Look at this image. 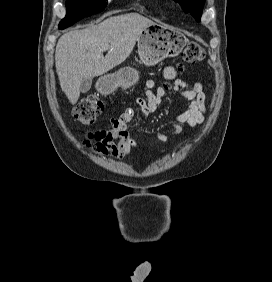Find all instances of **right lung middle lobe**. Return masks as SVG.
Returning <instances> with one entry per match:
<instances>
[{"label": "right lung middle lobe", "mask_w": 272, "mask_h": 282, "mask_svg": "<svg viewBox=\"0 0 272 282\" xmlns=\"http://www.w3.org/2000/svg\"><path fill=\"white\" fill-rule=\"evenodd\" d=\"M106 4L107 0H67V13L60 22L59 29L67 28L84 17L101 12Z\"/></svg>", "instance_id": "dd1d6c3e"}]
</instances>
